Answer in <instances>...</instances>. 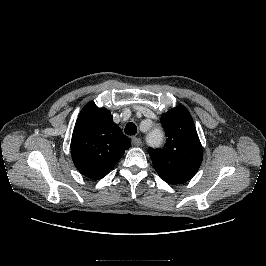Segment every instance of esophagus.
<instances>
[{"label":"esophagus","mask_w":266,"mask_h":266,"mask_svg":"<svg viewBox=\"0 0 266 266\" xmlns=\"http://www.w3.org/2000/svg\"><path fill=\"white\" fill-rule=\"evenodd\" d=\"M131 143L133 146H140L141 145V139L137 137H132Z\"/></svg>","instance_id":"obj_1"}]
</instances>
